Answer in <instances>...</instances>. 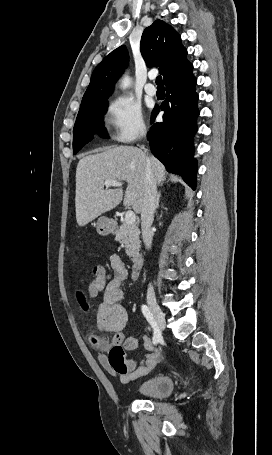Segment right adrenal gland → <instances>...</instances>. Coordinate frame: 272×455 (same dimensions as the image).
Here are the masks:
<instances>
[{"label": "right adrenal gland", "mask_w": 272, "mask_h": 455, "mask_svg": "<svg viewBox=\"0 0 272 455\" xmlns=\"http://www.w3.org/2000/svg\"><path fill=\"white\" fill-rule=\"evenodd\" d=\"M160 196H161V193L159 192L157 195V200H156V209L159 207Z\"/></svg>", "instance_id": "2a0ac1e0"}]
</instances>
